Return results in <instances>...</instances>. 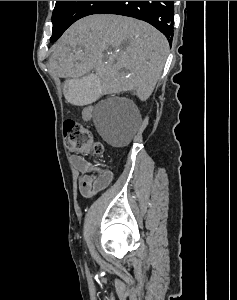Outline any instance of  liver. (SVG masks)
<instances>
[{
  "instance_id": "6515ba94",
  "label": "liver",
  "mask_w": 237,
  "mask_h": 300,
  "mask_svg": "<svg viewBox=\"0 0 237 300\" xmlns=\"http://www.w3.org/2000/svg\"><path fill=\"white\" fill-rule=\"evenodd\" d=\"M169 43L157 29L121 15H90L59 39L49 61L57 77H102L105 93L134 91L147 101L161 77Z\"/></svg>"
}]
</instances>
